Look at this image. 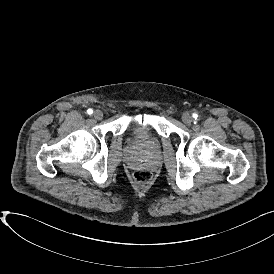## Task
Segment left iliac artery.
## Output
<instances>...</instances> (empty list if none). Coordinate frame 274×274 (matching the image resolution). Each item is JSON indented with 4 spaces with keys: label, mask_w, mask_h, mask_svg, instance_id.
I'll list each match as a JSON object with an SVG mask.
<instances>
[{
    "label": "left iliac artery",
    "mask_w": 274,
    "mask_h": 274,
    "mask_svg": "<svg viewBox=\"0 0 274 274\" xmlns=\"http://www.w3.org/2000/svg\"><path fill=\"white\" fill-rule=\"evenodd\" d=\"M192 116H193L194 119L198 118V115L196 113H194Z\"/></svg>",
    "instance_id": "obj_1"
}]
</instances>
